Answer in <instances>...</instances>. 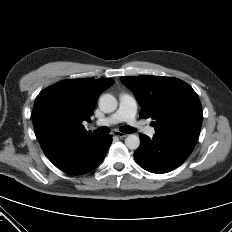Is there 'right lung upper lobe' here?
<instances>
[{"label":"right lung upper lobe","mask_w":232,"mask_h":232,"mask_svg":"<svg viewBox=\"0 0 232 232\" xmlns=\"http://www.w3.org/2000/svg\"><path fill=\"white\" fill-rule=\"evenodd\" d=\"M113 83L110 78L64 80L38 94L33 107L34 131L46 156L95 136L82 122L90 121L100 93Z\"/></svg>","instance_id":"cb5924a9"}]
</instances>
